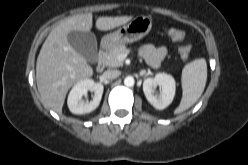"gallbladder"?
Here are the masks:
<instances>
[{
  "mask_svg": "<svg viewBox=\"0 0 248 165\" xmlns=\"http://www.w3.org/2000/svg\"><path fill=\"white\" fill-rule=\"evenodd\" d=\"M69 44L81 54L89 63L98 60L96 36L90 31H70L67 35Z\"/></svg>",
  "mask_w": 248,
  "mask_h": 165,
  "instance_id": "bac80fb5",
  "label": "gallbladder"
}]
</instances>
